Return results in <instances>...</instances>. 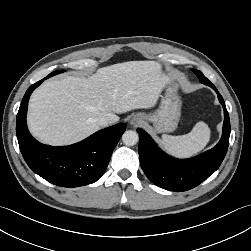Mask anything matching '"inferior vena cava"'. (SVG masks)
<instances>
[{"label": "inferior vena cava", "mask_w": 251, "mask_h": 251, "mask_svg": "<svg viewBox=\"0 0 251 251\" xmlns=\"http://www.w3.org/2000/svg\"><path fill=\"white\" fill-rule=\"evenodd\" d=\"M97 123L100 125V126H103V127H106L108 125H111L112 124V120L107 117V116H101L97 119Z\"/></svg>", "instance_id": "obj_1"}]
</instances>
